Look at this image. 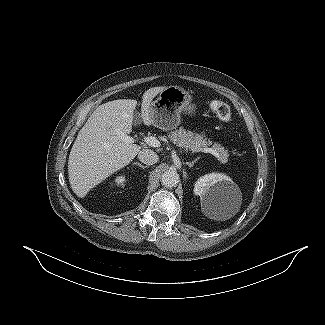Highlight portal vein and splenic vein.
<instances>
[{
    "label": "portal vein and splenic vein",
    "instance_id": "1",
    "mask_svg": "<svg viewBox=\"0 0 325 325\" xmlns=\"http://www.w3.org/2000/svg\"><path fill=\"white\" fill-rule=\"evenodd\" d=\"M121 138L124 142L126 143H133L134 142V139L126 134H121ZM143 141L151 146V147H160V142L157 138L153 137V136H146L143 138ZM196 151H199V152H204V153H211L213 154L215 157H218L219 154L218 152L213 149V148H200Z\"/></svg>",
    "mask_w": 325,
    "mask_h": 325
}]
</instances>
